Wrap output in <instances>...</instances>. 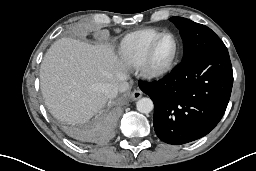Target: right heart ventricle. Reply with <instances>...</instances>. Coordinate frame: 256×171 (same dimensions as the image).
Returning <instances> with one entry per match:
<instances>
[{"label":"right heart ventricle","instance_id":"e07e8e85","mask_svg":"<svg viewBox=\"0 0 256 171\" xmlns=\"http://www.w3.org/2000/svg\"><path fill=\"white\" fill-rule=\"evenodd\" d=\"M162 33L157 29L146 28L127 34L119 46L120 57L131 66L140 65L151 42Z\"/></svg>","mask_w":256,"mask_h":171}]
</instances>
